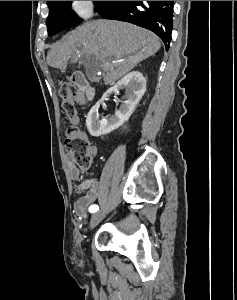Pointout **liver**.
Listing matches in <instances>:
<instances>
[{"label":"liver","mask_w":237,"mask_h":300,"mask_svg":"<svg viewBox=\"0 0 237 300\" xmlns=\"http://www.w3.org/2000/svg\"><path fill=\"white\" fill-rule=\"evenodd\" d=\"M160 47L159 37L151 31L129 23L98 19L84 23L63 37V41L55 43L47 53L46 63L65 73L69 59L74 63L81 61L87 67L88 57L95 55L97 61H102L99 69L107 71L106 85H113L140 61L155 55Z\"/></svg>","instance_id":"1"}]
</instances>
